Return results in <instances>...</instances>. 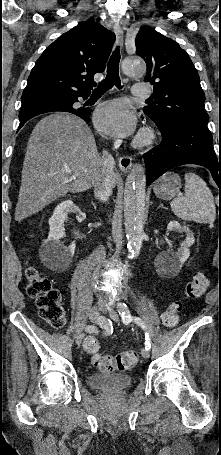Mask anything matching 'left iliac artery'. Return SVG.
Returning a JSON list of instances; mask_svg holds the SVG:
<instances>
[{"label": "left iliac artery", "mask_w": 221, "mask_h": 455, "mask_svg": "<svg viewBox=\"0 0 221 455\" xmlns=\"http://www.w3.org/2000/svg\"><path fill=\"white\" fill-rule=\"evenodd\" d=\"M118 305H119V314L122 316V321L124 324H128L131 321H134L141 328H143V329L145 328V324L140 318L131 316L130 311L128 310V307L125 303H119ZM145 348L147 350L151 349V339L147 332L145 333Z\"/></svg>", "instance_id": "left-iliac-artery-1"}]
</instances>
